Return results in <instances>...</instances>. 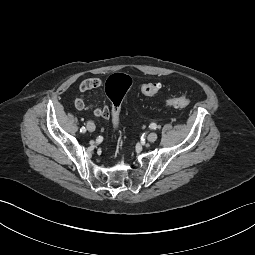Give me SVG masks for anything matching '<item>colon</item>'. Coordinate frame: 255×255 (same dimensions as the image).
Returning a JSON list of instances; mask_svg holds the SVG:
<instances>
[{
  "label": "colon",
  "mask_w": 255,
  "mask_h": 255,
  "mask_svg": "<svg viewBox=\"0 0 255 255\" xmlns=\"http://www.w3.org/2000/svg\"><path fill=\"white\" fill-rule=\"evenodd\" d=\"M131 78L123 73H115L111 75L106 81V92L111 102V121L114 130L119 127V113L122 100L131 87ZM160 88L156 84L145 83L140 87V91L145 96H154L159 92ZM168 106L182 109L190 105L191 99L189 97H171L165 100Z\"/></svg>",
  "instance_id": "obj_1"
}]
</instances>
